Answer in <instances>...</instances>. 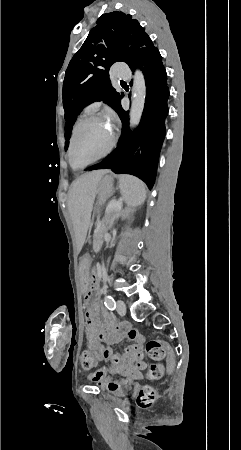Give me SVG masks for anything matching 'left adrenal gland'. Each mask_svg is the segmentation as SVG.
I'll list each match as a JSON object with an SVG mask.
<instances>
[{
  "instance_id": "obj_1",
  "label": "left adrenal gland",
  "mask_w": 241,
  "mask_h": 450,
  "mask_svg": "<svg viewBox=\"0 0 241 450\" xmlns=\"http://www.w3.org/2000/svg\"><path fill=\"white\" fill-rule=\"evenodd\" d=\"M124 214H125V210H121V212H118L116 218H125Z\"/></svg>"
}]
</instances>
